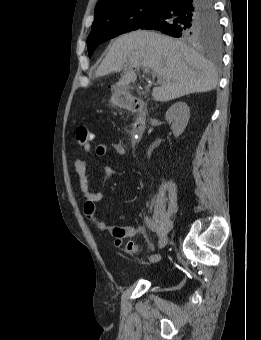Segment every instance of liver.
<instances>
[{
  "instance_id": "liver-1",
  "label": "liver",
  "mask_w": 261,
  "mask_h": 340,
  "mask_svg": "<svg viewBox=\"0 0 261 340\" xmlns=\"http://www.w3.org/2000/svg\"><path fill=\"white\" fill-rule=\"evenodd\" d=\"M149 67L159 78L154 100L167 102L217 87V71L204 56L183 42L151 31H134L118 37L95 72L102 77L123 70L115 89L136 81L134 69Z\"/></svg>"
}]
</instances>
